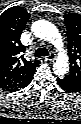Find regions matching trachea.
Wrapping results in <instances>:
<instances>
[{
	"instance_id": "obj_1",
	"label": "trachea",
	"mask_w": 81,
	"mask_h": 124,
	"mask_svg": "<svg viewBox=\"0 0 81 124\" xmlns=\"http://www.w3.org/2000/svg\"><path fill=\"white\" fill-rule=\"evenodd\" d=\"M48 55H49V51L45 47H39L35 51V57L48 56Z\"/></svg>"
}]
</instances>
